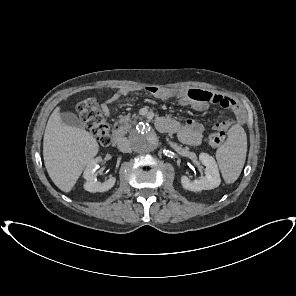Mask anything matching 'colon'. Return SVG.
Here are the masks:
<instances>
[{"instance_id": "1", "label": "colon", "mask_w": 296, "mask_h": 296, "mask_svg": "<svg viewBox=\"0 0 296 296\" xmlns=\"http://www.w3.org/2000/svg\"><path fill=\"white\" fill-rule=\"evenodd\" d=\"M76 111L80 120L85 123L98 143L108 146L111 143L110 126L99 103L93 98H86L77 104ZM225 137V132L219 130L208 136L207 143L211 147H217L224 142Z\"/></svg>"}]
</instances>
